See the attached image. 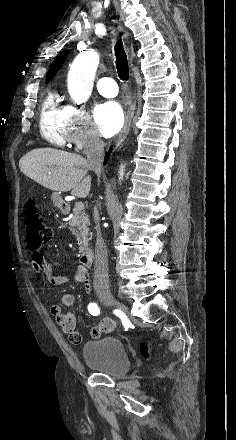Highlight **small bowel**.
I'll list each match as a JSON object with an SVG mask.
<instances>
[{"label": "small bowel", "instance_id": "small-bowel-1", "mask_svg": "<svg viewBox=\"0 0 236 440\" xmlns=\"http://www.w3.org/2000/svg\"><path fill=\"white\" fill-rule=\"evenodd\" d=\"M31 267L34 273L42 274L47 286L54 287L66 283L70 278L85 286L86 292H90V280L87 271L79 266L73 275H56L49 263L45 260L39 250L31 253ZM67 308V312L62 311V306ZM61 305L53 304L50 306V313L64 334L68 336L72 344L78 345L81 342V334L76 331V317L72 312L75 305V296L66 293L62 296ZM116 323L113 319L104 318L99 324H93L89 329V334L93 338H98L101 333H114Z\"/></svg>", "mask_w": 236, "mask_h": 440}]
</instances>
